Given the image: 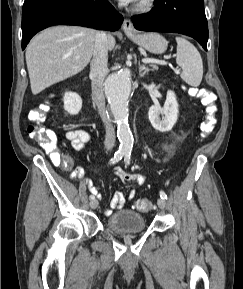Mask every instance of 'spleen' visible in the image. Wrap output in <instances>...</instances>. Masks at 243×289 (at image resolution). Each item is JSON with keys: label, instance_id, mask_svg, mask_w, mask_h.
Segmentation results:
<instances>
[{"label": "spleen", "instance_id": "1", "mask_svg": "<svg viewBox=\"0 0 243 289\" xmlns=\"http://www.w3.org/2000/svg\"><path fill=\"white\" fill-rule=\"evenodd\" d=\"M176 63L182 68L181 78L190 86L200 85L203 77V62L195 46L183 37H176Z\"/></svg>", "mask_w": 243, "mask_h": 289}]
</instances>
